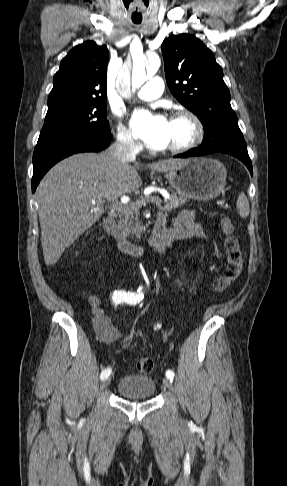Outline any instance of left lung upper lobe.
Masks as SVG:
<instances>
[{
    "label": "left lung upper lobe",
    "instance_id": "obj_1",
    "mask_svg": "<svg viewBox=\"0 0 287 486\" xmlns=\"http://www.w3.org/2000/svg\"><path fill=\"white\" fill-rule=\"evenodd\" d=\"M161 49L170 91L203 124L205 134L200 149L248 153L230 105L222 68L211 50L189 34L165 39Z\"/></svg>",
    "mask_w": 287,
    "mask_h": 486
}]
</instances>
